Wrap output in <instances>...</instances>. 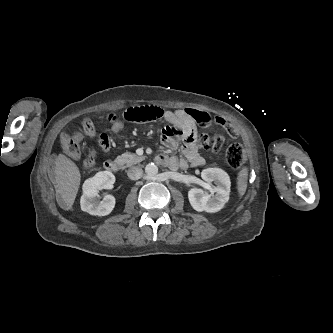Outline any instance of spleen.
Returning <instances> with one entry per match:
<instances>
[{
	"instance_id": "spleen-1",
	"label": "spleen",
	"mask_w": 333,
	"mask_h": 333,
	"mask_svg": "<svg viewBox=\"0 0 333 333\" xmlns=\"http://www.w3.org/2000/svg\"><path fill=\"white\" fill-rule=\"evenodd\" d=\"M248 169L242 168L237 177V190L240 195H244L247 188Z\"/></svg>"
}]
</instances>
